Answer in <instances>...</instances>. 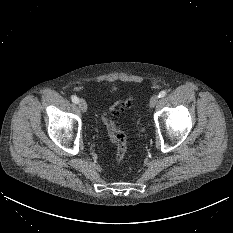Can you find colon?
Returning a JSON list of instances; mask_svg holds the SVG:
<instances>
[{"instance_id": "1", "label": "colon", "mask_w": 233, "mask_h": 233, "mask_svg": "<svg viewBox=\"0 0 233 233\" xmlns=\"http://www.w3.org/2000/svg\"><path fill=\"white\" fill-rule=\"evenodd\" d=\"M130 106H131L130 99L117 101L111 106L110 112L117 113L120 110L129 108ZM102 122L106 128L109 138L116 146V151H115L116 159L118 161H122L127 151V140L125 134L116 127L115 123L109 118L107 113L103 114Z\"/></svg>"}]
</instances>
